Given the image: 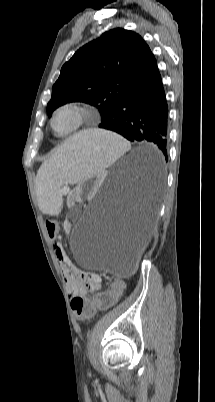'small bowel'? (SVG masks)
I'll list each match as a JSON object with an SVG mask.
<instances>
[{"instance_id":"small-bowel-1","label":"small bowel","mask_w":215,"mask_h":402,"mask_svg":"<svg viewBox=\"0 0 215 402\" xmlns=\"http://www.w3.org/2000/svg\"><path fill=\"white\" fill-rule=\"evenodd\" d=\"M55 255L59 262L66 263L68 257L60 242L53 243ZM62 273L65 279V283L69 294L74 298L76 296H85L88 292L96 291L100 288L101 277L98 274L93 273L91 278H83L77 272H73L62 267Z\"/></svg>"}]
</instances>
